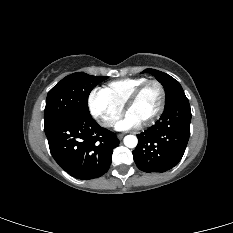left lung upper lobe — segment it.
<instances>
[{
	"instance_id": "obj_1",
	"label": "left lung upper lobe",
	"mask_w": 233,
	"mask_h": 233,
	"mask_svg": "<svg viewBox=\"0 0 233 233\" xmlns=\"http://www.w3.org/2000/svg\"><path fill=\"white\" fill-rule=\"evenodd\" d=\"M145 72L154 75L155 78L163 85L166 94L165 107H168L179 98L186 97L180 83L170 75L155 69H146L142 73Z\"/></svg>"
}]
</instances>
